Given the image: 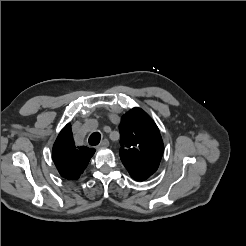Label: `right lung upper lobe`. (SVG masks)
Masks as SVG:
<instances>
[{
	"label": "right lung upper lobe",
	"mask_w": 246,
	"mask_h": 246,
	"mask_svg": "<svg viewBox=\"0 0 246 246\" xmlns=\"http://www.w3.org/2000/svg\"><path fill=\"white\" fill-rule=\"evenodd\" d=\"M94 153L93 148L75 146L71 125L67 124L54 143L52 158L63 178L77 180L84 172Z\"/></svg>",
	"instance_id": "obj_1"
}]
</instances>
